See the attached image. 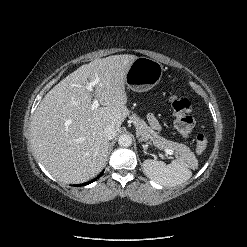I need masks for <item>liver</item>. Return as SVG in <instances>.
<instances>
[{
    "label": "liver",
    "mask_w": 247,
    "mask_h": 247,
    "mask_svg": "<svg viewBox=\"0 0 247 247\" xmlns=\"http://www.w3.org/2000/svg\"><path fill=\"white\" fill-rule=\"evenodd\" d=\"M138 57L112 55L82 65L55 85L42 99L31 123L34 153L58 181L82 183L104 167L109 140L104 129L119 132L129 114L125 80ZM99 78L94 94L88 82ZM93 97L102 107L92 109Z\"/></svg>",
    "instance_id": "obj_1"
}]
</instances>
